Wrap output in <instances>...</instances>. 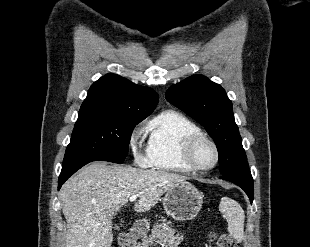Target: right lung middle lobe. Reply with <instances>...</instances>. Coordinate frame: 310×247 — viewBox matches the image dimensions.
Listing matches in <instances>:
<instances>
[{
  "label": "right lung middle lobe",
  "mask_w": 310,
  "mask_h": 247,
  "mask_svg": "<svg viewBox=\"0 0 310 247\" xmlns=\"http://www.w3.org/2000/svg\"><path fill=\"white\" fill-rule=\"evenodd\" d=\"M145 118L79 113L63 165L83 160L123 163L132 131Z\"/></svg>",
  "instance_id": "dd1d6c3e"
}]
</instances>
